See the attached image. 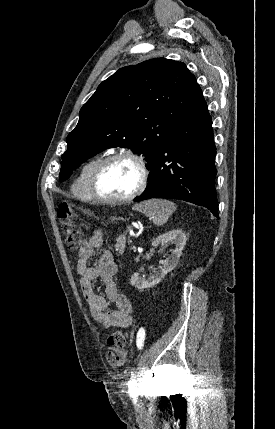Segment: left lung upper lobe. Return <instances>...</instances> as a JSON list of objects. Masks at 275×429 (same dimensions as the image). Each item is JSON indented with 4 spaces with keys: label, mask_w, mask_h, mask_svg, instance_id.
Listing matches in <instances>:
<instances>
[{
    "label": "left lung upper lobe",
    "mask_w": 275,
    "mask_h": 429,
    "mask_svg": "<svg viewBox=\"0 0 275 429\" xmlns=\"http://www.w3.org/2000/svg\"><path fill=\"white\" fill-rule=\"evenodd\" d=\"M197 82L186 65L155 58L126 66L103 81L69 133L59 181L101 151L132 148L147 167L186 111Z\"/></svg>",
    "instance_id": "5c2ea615"
}]
</instances>
